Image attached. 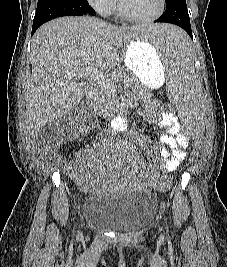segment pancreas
<instances>
[{
	"label": "pancreas",
	"instance_id": "cf45deb5",
	"mask_svg": "<svg viewBox=\"0 0 227 267\" xmlns=\"http://www.w3.org/2000/svg\"><path fill=\"white\" fill-rule=\"evenodd\" d=\"M109 78L108 85L98 84L97 93L94 97V106L97 111L109 109L114 104L115 83L117 81H122L132 89H136V86L143 87L135 76H130L123 70H115L110 74Z\"/></svg>",
	"mask_w": 227,
	"mask_h": 267
}]
</instances>
